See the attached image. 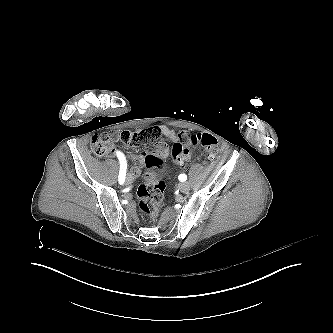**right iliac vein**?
<instances>
[{"label": "right iliac vein", "instance_id": "63e3f726", "mask_svg": "<svg viewBox=\"0 0 333 333\" xmlns=\"http://www.w3.org/2000/svg\"><path fill=\"white\" fill-rule=\"evenodd\" d=\"M133 179H134L133 175L131 173H128L126 176V180H125L126 184L128 185V184L132 183Z\"/></svg>", "mask_w": 333, "mask_h": 333}]
</instances>
